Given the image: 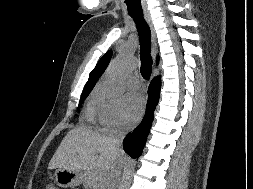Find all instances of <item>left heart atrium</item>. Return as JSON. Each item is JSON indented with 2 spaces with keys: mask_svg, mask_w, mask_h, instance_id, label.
<instances>
[{
  "mask_svg": "<svg viewBox=\"0 0 253 189\" xmlns=\"http://www.w3.org/2000/svg\"><path fill=\"white\" fill-rule=\"evenodd\" d=\"M144 112V99L139 94H130L126 98L123 112L125 125H133L138 122Z\"/></svg>",
  "mask_w": 253,
  "mask_h": 189,
  "instance_id": "39dd6f15",
  "label": "left heart atrium"
}]
</instances>
